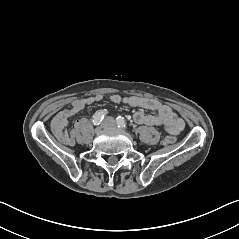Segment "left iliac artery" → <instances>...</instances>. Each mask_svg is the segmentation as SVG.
Here are the masks:
<instances>
[{"label": "left iliac artery", "mask_w": 239, "mask_h": 239, "mask_svg": "<svg viewBox=\"0 0 239 239\" xmlns=\"http://www.w3.org/2000/svg\"><path fill=\"white\" fill-rule=\"evenodd\" d=\"M116 121H117L118 127H120V128H126L127 127V124H126L125 119L123 117L118 116Z\"/></svg>", "instance_id": "44dca946"}]
</instances>
